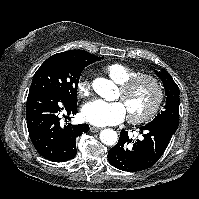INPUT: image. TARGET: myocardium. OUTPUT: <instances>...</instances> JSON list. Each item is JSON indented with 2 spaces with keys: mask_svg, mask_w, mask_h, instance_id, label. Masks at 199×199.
I'll use <instances>...</instances> for the list:
<instances>
[{
  "mask_svg": "<svg viewBox=\"0 0 199 199\" xmlns=\"http://www.w3.org/2000/svg\"><path fill=\"white\" fill-rule=\"evenodd\" d=\"M142 82H149L152 85L154 89V98L146 112L139 115L128 113V120L132 124H142L152 120L157 115L164 99V90L161 81L156 76L147 73L137 74L129 78L120 84V91L125 95Z\"/></svg>",
  "mask_w": 199,
  "mask_h": 199,
  "instance_id": "myocardium-1",
  "label": "myocardium"
}]
</instances>
